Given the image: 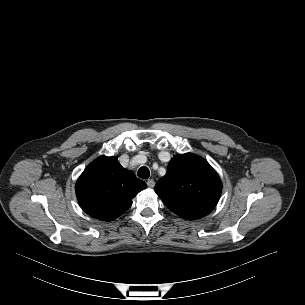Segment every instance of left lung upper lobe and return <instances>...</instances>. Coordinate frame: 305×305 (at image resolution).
Returning <instances> with one entry per match:
<instances>
[{"instance_id":"1","label":"left lung upper lobe","mask_w":305,"mask_h":305,"mask_svg":"<svg viewBox=\"0 0 305 305\" xmlns=\"http://www.w3.org/2000/svg\"><path fill=\"white\" fill-rule=\"evenodd\" d=\"M222 184L216 171L200 156L180 154L170 161L167 173L155 185V192L178 216L195 220L217 205Z\"/></svg>"}]
</instances>
